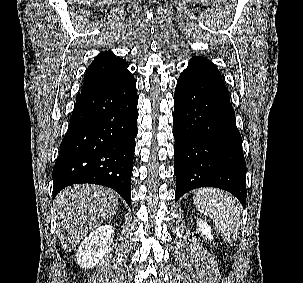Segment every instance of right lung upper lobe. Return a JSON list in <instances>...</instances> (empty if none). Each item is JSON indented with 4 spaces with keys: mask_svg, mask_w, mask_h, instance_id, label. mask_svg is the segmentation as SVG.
I'll return each mask as SVG.
<instances>
[{
    "mask_svg": "<svg viewBox=\"0 0 303 283\" xmlns=\"http://www.w3.org/2000/svg\"><path fill=\"white\" fill-rule=\"evenodd\" d=\"M128 64L112 52H102L89 65L81 92L110 84L130 73Z\"/></svg>",
    "mask_w": 303,
    "mask_h": 283,
    "instance_id": "right-lung-upper-lobe-1",
    "label": "right lung upper lobe"
}]
</instances>
